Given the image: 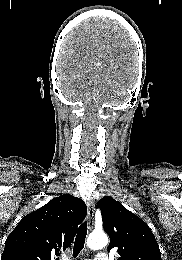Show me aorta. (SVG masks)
<instances>
[{
  "label": "aorta",
  "mask_w": 182,
  "mask_h": 260,
  "mask_svg": "<svg viewBox=\"0 0 182 260\" xmlns=\"http://www.w3.org/2000/svg\"><path fill=\"white\" fill-rule=\"evenodd\" d=\"M108 244V237L105 233H92L88 237L87 246L92 250L104 248Z\"/></svg>",
  "instance_id": "aorta-1"
}]
</instances>
